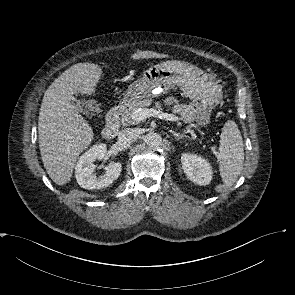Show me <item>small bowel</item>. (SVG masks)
I'll use <instances>...</instances> for the list:
<instances>
[{
    "label": "small bowel",
    "mask_w": 295,
    "mask_h": 295,
    "mask_svg": "<svg viewBox=\"0 0 295 295\" xmlns=\"http://www.w3.org/2000/svg\"><path fill=\"white\" fill-rule=\"evenodd\" d=\"M176 103H177V100H176L175 98H168V99L166 100V104H167L168 106L174 105V104H176Z\"/></svg>",
    "instance_id": "c3829d8e"
}]
</instances>
